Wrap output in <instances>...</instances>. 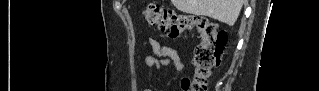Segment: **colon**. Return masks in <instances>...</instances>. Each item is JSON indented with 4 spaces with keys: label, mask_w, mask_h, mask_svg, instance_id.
Instances as JSON below:
<instances>
[{
    "label": "colon",
    "mask_w": 319,
    "mask_h": 91,
    "mask_svg": "<svg viewBox=\"0 0 319 91\" xmlns=\"http://www.w3.org/2000/svg\"><path fill=\"white\" fill-rule=\"evenodd\" d=\"M143 20L169 37L197 31L201 37L195 48L192 77L182 80L184 91H207L214 69L219 65L227 34L217 22L202 16L179 13L151 3L141 12Z\"/></svg>",
    "instance_id": "obj_1"
}]
</instances>
